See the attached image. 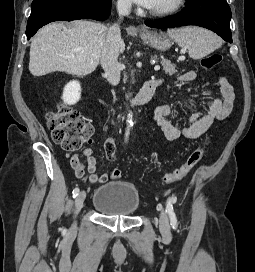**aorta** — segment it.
<instances>
[{
	"label": "aorta",
	"mask_w": 255,
	"mask_h": 272,
	"mask_svg": "<svg viewBox=\"0 0 255 272\" xmlns=\"http://www.w3.org/2000/svg\"><path fill=\"white\" fill-rule=\"evenodd\" d=\"M126 123H127V127L133 126V115L131 113L127 115Z\"/></svg>",
	"instance_id": "762f6f07"
}]
</instances>
